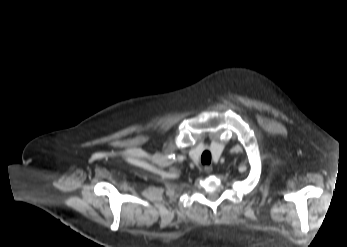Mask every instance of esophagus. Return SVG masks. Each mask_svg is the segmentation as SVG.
Instances as JSON below:
<instances>
[{
    "mask_svg": "<svg viewBox=\"0 0 347 247\" xmlns=\"http://www.w3.org/2000/svg\"><path fill=\"white\" fill-rule=\"evenodd\" d=\"M204 171L209 174V173H211L213 171V167L210 166V165H206L204 167Z\"/></svg>",
    "mask_w": 347,
    "mask_h": 247,
    "instance_id": "esophagus-1",
    "label": "esophagus"
}]
</instances>
